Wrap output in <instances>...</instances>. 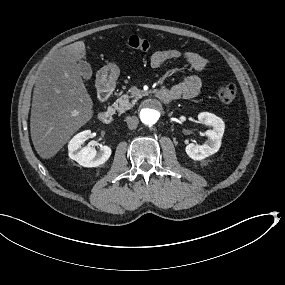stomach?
I'll use <instances>...</instances> for the list:
<instances>
[{
  "label": "stomach",
  "instance_id": "1",
  "mask_svg": "<svg viewBox=\"0 0 285 285\" xmlns=\"http://www.w3.org/2000/svg\"><path fill=\"white\" fill-rule=\"evenodd\" d=\"M119 68L117 65H108L105 71H100L97 75V80L103 85L114 84L119 76Z\"/></svg>",
  "mask_w": 285,
  "mask_h": 285
}]
</instances>
